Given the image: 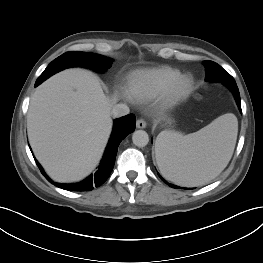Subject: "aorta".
I'll use <instances>...</instances> for the list:
<instances>
[{"instance_id": "aorta-1", "label": "aorta", "mask_w": 263, "mask_h": 263, "mask_svg": "<svg viewBox=\"0 0 263 263\" xmlns=\"http://www.w3.org/2000/svg\"><path fill=\"white\" fill-rule=\"evenodd\" d=\"M132 141L137 147H145L149 142V136L144 130H137L132 135Z\"/></svg>"}]
</instances>
